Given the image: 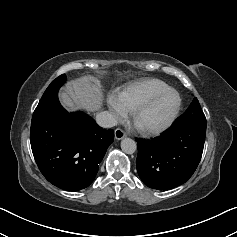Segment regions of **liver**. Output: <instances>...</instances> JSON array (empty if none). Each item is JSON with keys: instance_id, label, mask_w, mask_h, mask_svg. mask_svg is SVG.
<instances>
[{"instance_id": "6515ba94", "label": "liver", "mask_w": 237, "mask_h": 237, "mask_svg": "<svg viewBox=\"0 0 237 237\" xmlns=\"http://www.w3.org/2000/svg\"><path fill=\"white\" fill-rule=\"evenodd\" d=\"M59 97L62 105L70 111L95 112L103 104L102 85L96 79L80 77L71 81L67 91H62Z\"/></svg>"}]
</instances>
